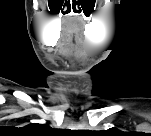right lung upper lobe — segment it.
Returning <instances> with one entry per match:
<instances>
[{"label":"right lung upper lobe","mask_w":151,"mask_h":136,"mask_svg":"<svg viewBox=\"0 0 151 136\" xmlns=\"http://www.w3.org/2000/svg\"><path fill=\"white\" fill-rule=\"evenodd\" d=\"M47 124H29L25 127V130L34 132H45L47 130Z\"/></svg>","instance_id":"right-lung-upper-lobe-1"}]
</instances>
